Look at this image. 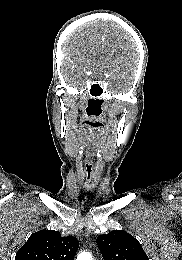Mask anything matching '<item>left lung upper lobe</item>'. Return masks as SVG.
Listing matches in <instances>:
<instances>
[{"label":"left lung upper lobe","mask_w":182,"mask_h":260,"mask_svg":"<svg viewBox=\"0 0 182 260\" xmlns=\"http://www.w3.org/2000/svg\"><path fill=\"white\" fill-rule=\"evenodd\" d=\"M104 260H149L139 241L123 230L97 237Z\"/></svg>","instance_id":"left-lung-upper-lobe-1"}]
</instances>
